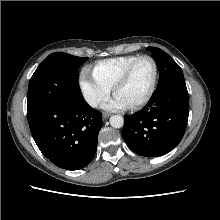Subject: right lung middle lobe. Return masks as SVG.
<instances>
[{
  "instance_id": "1",
  "label": "right lung middle lobe",
  "mask_w": 220,
  "mask_h": 220,
  "mask_svg": "<svg viewBox=\"0 0 220 220\" xmlns=\"http://www.w3.org/2000/svg\"><path fill=\"white\" fill-rule=\"evenodd\" d=\"M88 57L63 52L50 54L32 75L27 109L47 103L77 105L85 102L77 79V71Z\"/></svg>"
}]
</instances>
